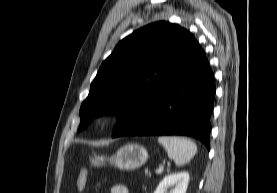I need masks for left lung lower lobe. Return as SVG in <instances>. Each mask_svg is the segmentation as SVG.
Segmentation results:
<instances>
[{"instance_id": "left-lung-lower-lobe-1", "label": "left lung lower lobe", "mask_w": 277, "mask_h": 193, "mask_svg": "<svg viewBox=\"0 0 277 193\" xmlns=\"http://www.w3.org/2000/svg\"><path fill=\"white\" fill-rule=\"evenodd\" d=\"M214 75L199 43L188 59L114 132L134 135H186L210 149Z\"/></svg>"}]
</instances>
